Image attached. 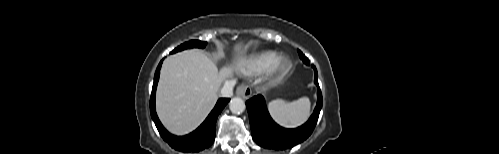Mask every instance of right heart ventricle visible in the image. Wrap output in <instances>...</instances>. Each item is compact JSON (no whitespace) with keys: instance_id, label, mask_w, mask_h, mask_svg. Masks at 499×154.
I'll use <instances>...</instances> for the list:
<instances>
[{"instance_id":"right-heart-ventricle-1","label":"right heart ventricle","mask_w":499,"mask_h":154,"mask_svg":"<svg viewBox=\"0 0 499 154\" xmlns=\"http://www.w3.org/2000/svg\"><path fill=\"white\" fill-rule=\"evenodd\" d=\"M273 51H261L242 57L238 64L247 75H259L266 72L276 58Z\"/></svg>"}]
</instances>
